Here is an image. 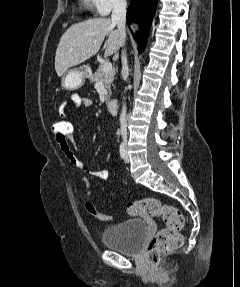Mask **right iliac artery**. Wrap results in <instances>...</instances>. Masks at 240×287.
<instances>
[{"instance_id": "82829eb1", "label": "right iliac artery", "mask_w": 240, "mask_h": 287, "mask_svg": "<svg viewBox=\"0 0 240 287\" xmlns=\"http://www.w3.org/2000/svg\"><path fill=\"white\" fill-rule=\"evenodd\" d=\"M125 155H126V150H125V146L123 143L120 144V156L122 159L125 158Z\"/></svg>"}]
</instances>
